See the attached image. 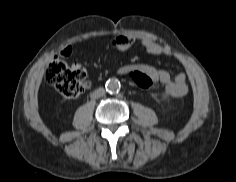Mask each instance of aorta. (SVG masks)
Here are the masks:
<instances>
[{"mask_svg":"<svg viewBox=\"0 0 236 182\" xmlns=\"http://www.w3.org/2000/svg\"><path fill=\"white\" fill-rule=\"evenodd\" d=\"M105 87L109 93H116L120 90V82L116 78H111L107 80Z\"/></svg>","mask_w":236,"mask_h":182,"instance_id":"762f6f07","label":"aorta"}]
</instances>
